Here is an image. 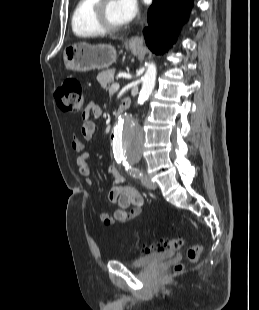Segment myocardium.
Masks as SVG:
<instances>
[{"label": "myocardium", "instance_id": "1", "mask_svg": "<svg viewBox=\"0 0 259 310\" xmlns=\"http://www.w3.org/2000/svg\"><path fill=\"white\" fill-rule=\"evenodd\" d=\"M109 0H97L92 8V19L94 24L102 33H115L121 31L125 25L114 26L107 22L105 11Z\"/></svg>", "mask_w": 259, "mask_h": 310}]
</instances>
